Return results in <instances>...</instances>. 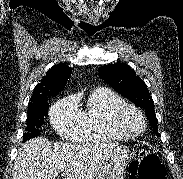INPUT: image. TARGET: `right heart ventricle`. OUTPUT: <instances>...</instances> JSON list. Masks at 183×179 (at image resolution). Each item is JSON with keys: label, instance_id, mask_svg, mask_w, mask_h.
<instances>
[{"label": "right heart ventricle", "instance_id": "1", "mask_svg": "<svg viewBox=\"0 0 183 179\" xmlns=\"http://www.w3.org/2000/svg\"><path fill=\"white\" fill-rule=\"evenodd\" d=\"M125 100L114 91L107 88L93 90L81 111L83 129L79 141L103 142L123 139L110 124L112 112Z\"/></svg>", "mask_w": 183, "mask_h": 179}]
</instances>
